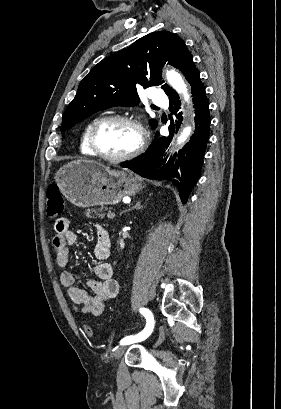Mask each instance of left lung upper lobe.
<instances>
[{
  "label": "left lung upper lobe",
  "mask_w": 281,
  "mask_h": 409,
  "mask_svg": "<svg viewBox=\"0 0 281 409\" xmlns=\"http://www.w3.org/2000/svg\"><path fill=\"white\" fill-rule=\"evenodd\" d=\"M165 63L179 69L188 81L197 69L184 41L169 31L148 34L103 59L80 82L75 98L63 115L61 131L100 110L137 105V87L161 85L169 97L177 94L167 84L162 85L160 70ZM150 123L152 128L157 125L156 120Z\"/></svg>",
  "instance_id": "5c2ea615"
}]
</instances>
